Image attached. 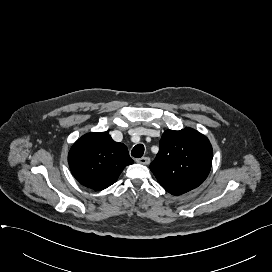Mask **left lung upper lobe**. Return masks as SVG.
<instances>
[{"mask_svg":"<svg viewBox=\"0 0 272 272\" xmlns=\"http://www.w3.org/2000/svg\"><path fill=\"white\" fill-rule=\"evenodd\" d=\"M212 157V146L203 134L192 128L167 130L150 170L166 191L181 195L203 183L210 172Z\"/></svg>","mask_w":272,"mask_h":272,"instance_id":"5c2ea615","label":"left lung upper lobe"}]
</instances>
